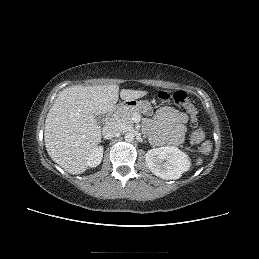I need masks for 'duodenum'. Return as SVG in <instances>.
Masks as SVG:
<instances>
[{
    "label": "duodenum",
    "instance_id": "obj_1",
    "mask_svg": "<svg viewBox=\"0 0 259 259\" xmlns=\"http://www.w3.org/2000/svg\"><path fill=\"white\" fill-rule=\"evenodd\" d=\"M124 107V104H118L116 106H114L111 111L107 114L106 119H105V123L111 124L116 116V113L122 109Z\"/></svg>",
    "mask_w": 259,
    "mask_h": 259
}]
</instances>
